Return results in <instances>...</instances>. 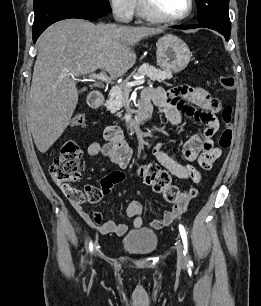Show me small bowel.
Here are the masks:
<instances>
[{"label":"small bowel","instance_id":"small-bowel-1","mask_svg":"<svg viewBox=\"0 0 261 306\" xmlns=\"http://www.w3.org/2000/svg\"><path fill=\"white\" fill-rule=\"evenodd\" d=\"M142 99L151 106H155L174 128L181 123L183 116H187L196 123L205 126L201 133L194 135L185 142L183 154L190 162L197 160L201 169H211L221 155V148L216 147L212 139L219 128L217 114L222 110L221 102L204 88L192 85L177 86L168 92L160 87L148 89L143 93ZM104 138L106 141L104 144L93 142L88 146V155L102 157L117 165L120 169H126L131 159V149L120 129L116 126L106 128ZM152 154L157 162L173 176L191 180L194 183L200 182L201 172L197 167L191 163L181 164L177 162L163 150L160 143L153 147ZM115 172L122 173L120 171ZM108 176L101 182V189L105 195L111 191L115 184L120 182H111L108 180ZM89 187L91 186L86 187V189ZM62 190L71 200L80 217L99 233L123 236L128 231L125 223L104 220L103 215L97 211H85L82 204L72 199L66 189L62 188ZM189 202L188 198L180 200L171 209L164 211L161 218L153 219L150 222V227L161 229L173 223L186 211ZM142 213V204L137 200L130 201L126 214L129 218H132L135 228H140L143 225Z\"/></svg>","mask_w":261,"mask_h":306}]
</instances>
